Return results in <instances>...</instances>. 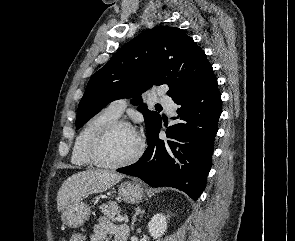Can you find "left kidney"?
<instances>
[{"label": "left kidney", "mask_w": 295, "mask_h": 241, "mask_svg": "<svg viewBox=\"0 0 295 241\" xmlns=\"http://www.w3.org/2000/svg\"><path fill=\"white\" fill-rule=\"evenodd\" d=\"M148 229L150 235L154 239H158L166 232L167 230V218L161 213L154 215L150 222L148 223Z\"/></svg>", "instance_id": "1"}]
</instances>
